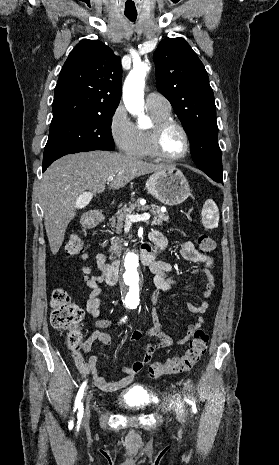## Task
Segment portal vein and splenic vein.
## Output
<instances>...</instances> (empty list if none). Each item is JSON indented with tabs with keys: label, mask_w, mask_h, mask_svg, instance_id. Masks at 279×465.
<instances>
[{
	"label": "portal vein and splenic vein",
	"mask_w": 279,
	"mask_h": 465,
	"mask_svg": "<svg viewBox=\"0 0 279 465\" xmlns=\"http://www.w3.org/2000/svg\"><path fill=\"white\" fill-rule=\"evenodd\" d=\"M114 179V176H109L108 181H112ZM87 197H92V193L90 192H85L83 193L79 199L85 200ZM129 222H140V221H147L150 219V214L149 213H144L140 215H133V214H128L126 218Z\"/></svg>",
	"instance_id": "1"
}]
</instances>
